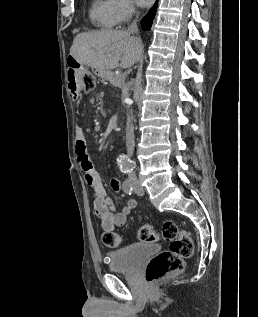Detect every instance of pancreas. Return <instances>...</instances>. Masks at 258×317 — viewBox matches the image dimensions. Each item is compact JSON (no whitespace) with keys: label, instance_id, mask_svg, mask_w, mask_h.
<instances>
[{"label":"pancreas","instance_id":"obj_1","mask_svg":"<svg viewBox=\"0 0 258 317\" xmlns=\"http://www.w3.org/2000/svg\"><path fill=\"white\" fill-rule=\"evenodd\" d=\"M109 82L111 84H115L118 90H124L126 87L120 77H111Z\"/></svg>","mask_w":258,"mask_h":317}]
</instances>
